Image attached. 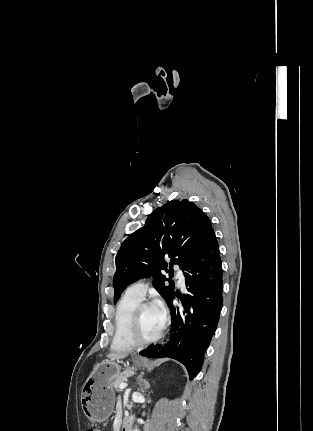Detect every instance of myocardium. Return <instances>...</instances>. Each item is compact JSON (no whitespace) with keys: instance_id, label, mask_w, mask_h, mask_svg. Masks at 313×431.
Segmentation results:
<instances>
[{"instance_id":"f54148a6","label":"myocardium","mask_w":313,"mask_h":431,"mask_svg":"<svg viewBox=\"0 0 313 431\" xmlns=\"http://www.w3.org/2000/svg\"><path fill=\"white\" fill-rule=\"evenodd\" d=\"M150 306L148 303H139L137 307L135 308L132 319H131V325L129 330V337L132 343L135 346H145L149 345L151 343L156 342L162 335L163 329L161 328L160 331L155 334L154 336L150 338H144L140 333V327H141V316L142 311L145 307Z\"/></svg>"}]
</instances>
